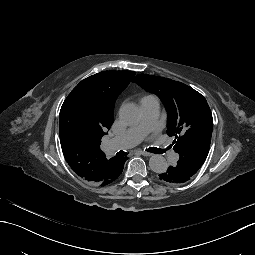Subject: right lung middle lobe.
<instances>
[{
    "mask_svg": "<svg viewBox=\"0 0 255 255\" xmlns=\"http://www.w3.org/2000/svg\"><path fill=\"white\" fill-rule=\"evenodd\" d=\"M59 127L61 144L85 143L94 140L96 137L94 130L77 121L63 119L60 120Z\"/></svg>",
    "mask_w": 255,
    "mask_h": 255,
    "instance_id": "dd1d6c3e",
    "label": "right lung middle lobe"
}]
</instances>
